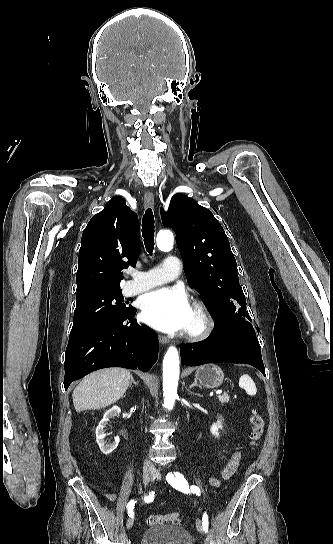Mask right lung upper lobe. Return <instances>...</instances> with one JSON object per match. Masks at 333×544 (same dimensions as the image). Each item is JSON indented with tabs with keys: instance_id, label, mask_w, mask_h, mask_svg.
Wrapping results in <instances>:
<instances>
[{
	"instance_id": "cb5924a9",
	"label": "right lung upper lobe",
	"mask_w": 333,
	"mask_h": 544,
	"mask_svg": "<svg viewBox=\"0 0 333 544\" xmlns=\"http://www.w3.org/2000/svg\"><path fill=\"white\" fill-rule=\"evenodd\" d=\"M140 251L138 216L116 196L86 226L76 275V299L120 290L122 270L135 266Z\"/></svg>"
}]
</instances>
